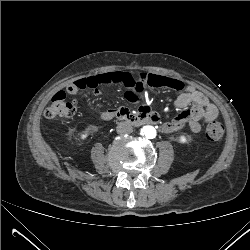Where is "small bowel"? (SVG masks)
<instances>
[{
  "mask_svg": "<svg viewBox=\"0 0 250 250\" xmlns=\"http://www.w3.org/2000/svg\"><path fill=\"white\" fill-rule=\"evenodd\" d=\"M162 77L166 79L162 86L183 91L174 102L175 106L181 108L182 111L163 124L162 130L165 133L175 132L184 126H188L193 132H199L201 122H211L218 117V109L215 104L198 88L193 85H186L173 77ZM129 88L131 89L129 96L136 98L139 93L137 84H130ZM96 92L98 93V91Z\"/></svg>",
  "mask_w": 250,
  "mask_h": 250,
  "instance_id": "obj_1",
  "label": "small bowel"
}]
</instances>
